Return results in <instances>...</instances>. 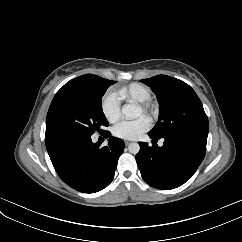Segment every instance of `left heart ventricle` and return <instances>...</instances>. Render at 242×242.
I'll list each match as a JSON object with an SVG mask.
<instances>
[{"label":"left heart ventricle","instance_id":"b2bd125f","mask_svg":"<svg viewBox=\"0 0 242 242\" xmlns=\"http://www.w3.org/2000/svg\"><path fill=\"white\" fill-rule=\"evenodd\" d=\"M141 114H142V112H141L140 108H138L137 115L139 116Z\"/></svg>","mask_w":242,"mask_h":242}]
</instances>
